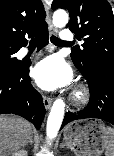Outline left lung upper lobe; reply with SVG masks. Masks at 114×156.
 Returning <instances> with one entry per match:
<instances>
[{
    "mask_svg": "<svg viewBox=\"0 0 114 156\" xmlns=\"http://www.w3.org/2000/svg\"><path fill=\"white\" fill-rule=\"evenodd\" d=\"M63 8L70 15V30L82 47L71 58L83 74L114 71V16L107 0H54L52 9Z\"/></svg>",
    "mask_w": 114,
    "mask_h": 156,
    "instance_id": "obj_1",
    "label": "left lung upper lobe"
}]
</instances>
